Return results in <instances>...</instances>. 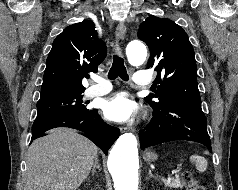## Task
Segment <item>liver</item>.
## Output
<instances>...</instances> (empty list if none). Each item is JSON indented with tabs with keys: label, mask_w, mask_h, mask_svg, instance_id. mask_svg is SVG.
<instances>
[{
	"label": "liver",
	"mask_w": 238,
	"mask_h": 190,
	"mask_svg": "<svg viewBox=\"0 0 238 190\" xmlns=\"http://www.w3.org/2000/svg\"><path fill=\"white\" fill-rule=\"evenodd\" d=\"M97 151L73 129H52L29 147L24 190H76L94 166Z\"/></svg>",
	"instance_id": "6515ba94"
}]
</instances>
